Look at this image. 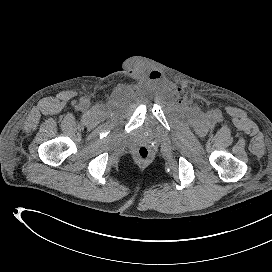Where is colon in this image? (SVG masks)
<instances>
[{"label": "colon", "instance_id": "colon-1", "mask_svg": "<svg viewBox=\"0 0 272 272\" xmlns=\"http://www.w3.org/2000/svg\"><path fill=\"white\" fill-rule=\"evenodd\" d=\"M136 156L140 161L144 162L148 160L150 152L146 147H140L136 152Z\"/></svg>", "mask_w": 272, "mask_h": 272}]
</instances>
